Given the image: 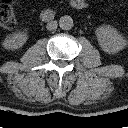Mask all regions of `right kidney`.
Wrapping results in <instances>:
<instances>
[{
	"label": "right kidney",
	"instance_id": "right-kidney-1",
	"mask_svg": "<svg viewBox=\"0 0 128 128\" xmlns=\"http://www.w3.org/2000/svg\"><path fill=\"white\" fill-rule=\"evenodd\" d=\"M28 34L26 31H19L9 35L3 42V46L7 50H17L21 48L27 41Z\"/></svg>",
	"mask_w": 128,
	"mask_h": 128
}]
</instances>
